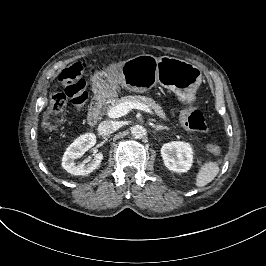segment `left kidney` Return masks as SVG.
Returning a JSON list of instances; mask_svg holds the SVG:
<instances>
[{
    "mask_svg": "<svg viewBox=\"0 0 266 266\" xmlns=\"http://www.w3.org/2000/svg\"><path fill=\"white\" fill-rule=\"evenodd\" d=\"M165 166L174 172H187L193 163V148L188 142L172 141L161 148Z\"/></svg>",
    "mask_w": 266,
    "mask_h": 266,
    "instance_id": "obj_1",
    "label": "left kidney"
}]
</instances>
